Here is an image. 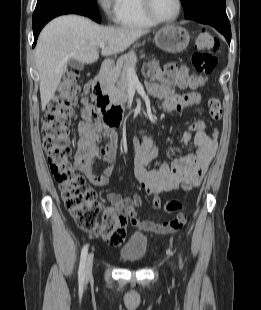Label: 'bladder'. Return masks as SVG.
<instances>
[{
	"mask_svg": "<svg viewBox=\"0 0 261 310\" xmlns=\"http://www.w3.org/2000/svg\"><path fill=\"white\" fill-rule=\"evenodd\" d=\"M148 248V238L142 232H134L126 244L120 249V257L127 262L141 261Z\"/></svg>",
	"mask_w": 261,
	"mask_h": 310,
	"instance_id": "obj_1",
	"label": "bladder"
}]
</instances>
